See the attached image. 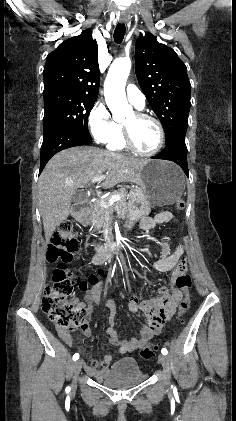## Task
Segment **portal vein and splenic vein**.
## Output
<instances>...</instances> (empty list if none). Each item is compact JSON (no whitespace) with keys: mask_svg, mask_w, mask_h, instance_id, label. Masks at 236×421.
<instances>
[{"mask_svg":"<svg viewBox=\"0 0 236 421\" xmlns=\"http://www.w3.org/2000/svg\"><path fill=\"white\" fill-rule=\"evenodd\" d=\"M105 178H106V174H100V176H93V178H91V182H100V180H105ZM66 186H72V184H66ZM96 192H97V196H100L99 190H96ZM120 198H121L120 194H113V196L109 198L108 204H106L105 198H101L100 202L102 206H112L113 200H120Z\"/></svg>","mask_w":236,"mask_h":421,"instance_id":"1","label":"portal vein and splenic vein"}]
</instances>
